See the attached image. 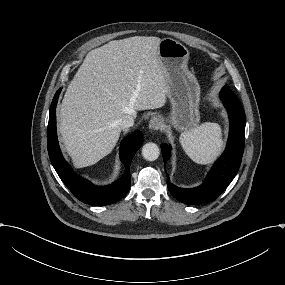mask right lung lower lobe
Wrapping results in <instances>:
<instances>
[{"label":"right lung lower lobe","instance_id":"right-lung-lower-lobe-1","mask_svg":"<svg viewBox=\"0 0 285 285\" xmlns=\"http://www.w3.org/2000/svg\"><path fill=\"white\" fill-rule=\"evenodd\" d=\"M60 94L58 90L52 100L47 130L48 153L58 176L72 194L80 201L89 205L104 206L121 199L130 188V164L136 151L143 143L141 132L135 131L127 136L120 146V158L126 169L124 174L113 184L98 187L88 180L76 175L64 160L56 133V104Z\"/></svg>","mask_w":285,"mask_h":285}]
</instances>
